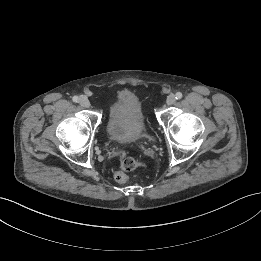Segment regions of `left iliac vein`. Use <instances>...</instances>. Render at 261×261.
Wrapping results in <instances>:
<instances>
[{
    "label": "left iliac vein",
    "mask_w": 261,
    "mask_h": 261,
    "mask_svg": "<svg viewBox=\"0 0 261 261\" xmlns=\"http://www.w3.org/2000/svg\"><path fill=\"white\" fill-rule=\"evenodd\" d=\"M175 102H176V97H175V95H173V94H170V95L167 97V99H166V103H167V105H169V106L173 105Z\"/></svg>",
    "instance_id": "4c4485c4"
}]
</instances>
